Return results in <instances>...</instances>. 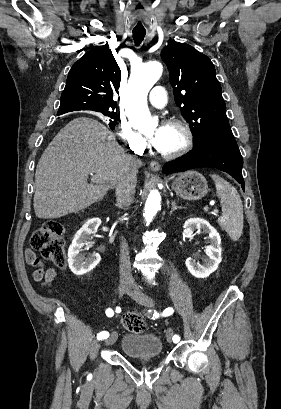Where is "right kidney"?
Segmentation results:
<instances>
[{"label": "right kidney", "instance_id": "ca27d5eb", "mask_svg": "<svg viewBox=\"0 0 281 409\" xmlns=\"http://www.w3.org/2000/svg\"><path fill=\"white\" fill-rule=\"evenodd\" d=\"M100 225L101 219L93 217V219H88L81 229L75 233V237L68 249L71 255V271L74 275H86V273H90L100 263L101 257L98 253H92L88 257H83L82 255V251H84L82 247L89 245L91 235L96 233Z\"/></svg>", "mask_w": 281, "mask_h": 409}]
</instances>
